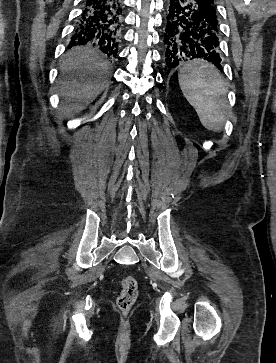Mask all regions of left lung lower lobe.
<instances>
[{
  "label": "left lung lower lobe",
  "instance_id": "obj_1",
  "mask_svg": "<svg viewBox=\"0 0 276 363\" xmlns=\"http://www.w3.org/2000/svg\"><path fill=\"white\" fill-rule=\"evenodd\" d=\"M168 11L164 37L167 74L199 58L222 71L216 8L207 0H170Z\"/></svg>",
  "mask_w": 276,
  "mask_h": 363
}]
</instances>
